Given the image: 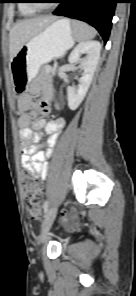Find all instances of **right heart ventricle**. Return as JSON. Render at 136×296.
I'll return each mask as SVG.
<instances>
[{
    "label": "right heart ventricle",
    "mask_w": 136,
    "mask_h": 296,
    "mask_svg": "<svg viewBox=\"0 0 136 296\" xmlns=\"http://www.w3.org/2000/svg\"><path fill=\"white\" fill-rule=\"evenodd\" d=\"M19 10H20L21 14L24 16H31L36 13V9H34L33 7L30 6V4L28 3V0L21 1V4L19 6Z\"/></svg>",
    "instance_id": "right-heart-ventricle-1"
}]
</instances>
